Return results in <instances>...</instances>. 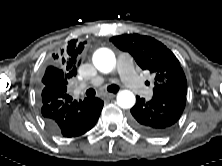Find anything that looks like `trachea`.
<instances>
[{
    "instance_id": "3493384b",
    "label": "trachea",
    "mask_w": 222,
    "mask_h": 166,
    "mask_svg": "<svg viewBox=\"0 0 222 166\" xmlns=\"http://www.w3.org/2000/svg\"><path fill=\"white\" fill-rule=\"evenodd\" d=\"M107 90H108L109 92L116 93V92H118V90H119V86H117V85H110V86L107 87ZM95 93H96V92H95L94 89H88V90L86 91V95L89 96V97L94 96Z\"/></svg>"
}]
</instances>
